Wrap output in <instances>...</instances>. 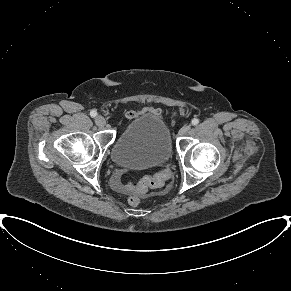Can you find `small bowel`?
I'll return each instance as SVG.
<instances>
[{
    "label": "small bowel",
    "mask_w": 291,
    "mask_h": 291,
    "mask_svg": "<svg viewBox=\"0 0 291 291\" xmlns=\"http://www.w3.org/2000/svg\"><path fill=\"white\" fill-rule=\"evenodd\" d=\"M143 111H150L155 115H161L162 114V110L159 109V108H150V107H148V108L143 109ZM138 114H139V112H137V111H125L123 113L124 117L126 119H128V120L136 117Z\"/></svg>",
    "instance_id": "1"
}]
</instances>
